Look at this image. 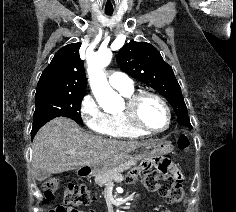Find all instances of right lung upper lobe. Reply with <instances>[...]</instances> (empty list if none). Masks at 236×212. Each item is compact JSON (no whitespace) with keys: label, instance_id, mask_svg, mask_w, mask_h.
<instances>
[{"label":"right lung upper lobe","instance_id":"obj_1","mask_svg":"<svg viewBox=\"0 0 236 212\" xmlns=\"http://www.w3.org/2000/svg\"><path fill=\"white\" fill-rule=\"evenodd\" d=\"M81 44L73 43L62 47L51 63L42 72L35 97L51 94H85L86 75L79 56Z\"/></svg>","mask_w":236,"mask_h":212}]
</instances>
